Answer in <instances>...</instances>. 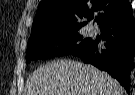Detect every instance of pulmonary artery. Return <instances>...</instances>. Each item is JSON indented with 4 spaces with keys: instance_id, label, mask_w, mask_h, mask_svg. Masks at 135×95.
Masks as SVG:
<instances>
[{
    "instance_id": "pulmonary-artery-1",
    "label": "pulmonary artery",
    "mask_w": 135,
    "mask_h": 95,
    "mask_svg": "<svg viewBox=\"0 0 135 95\" xmlns=\"http://www.w3.org/2000/svg\"><path fill=\"white\" fill-rule=\"evenodd\" d=\"M88 32H89L90 35H94V34L96 33L95 27L90 26V27L88 28Z\"/></svg>"
}]
</instances>
